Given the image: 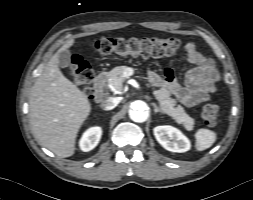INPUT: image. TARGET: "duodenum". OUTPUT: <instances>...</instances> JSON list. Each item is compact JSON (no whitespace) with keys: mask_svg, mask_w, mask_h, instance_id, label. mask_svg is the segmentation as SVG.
<instances>
[{"mask_svg":"<svg viewBox=\"0 0 253 200\" xmlns=\"http://www.w3.org/2000/svg\"><path fill=\"white\" fill-rule=\"evenodd\" d=\"M106 74L104 72H100L96 75L93 82V97L95 99H100L102 96V85L105 81Z\"/></svg>","mask_w":253,"mask_h":200,"instance_id":"1","label":"duodenum"}]
</instances>
